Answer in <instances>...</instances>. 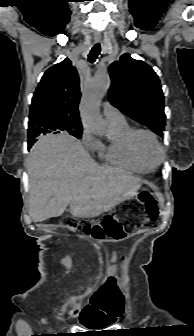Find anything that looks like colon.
<instances>
[{"label":"colon","mask_w":194,"mask_h":336,"mask_svg":"<svg viewBox=\"0 0 194 336\" xmlns=\"http://www.w3.org/2000/svg\"><path fill=\"white\" fill-rule=\"evenodd\" d=\"M140 211H143V215H140ZM157 217L156 200L149 192H141L136 199L126 201L115 214L105 216L101 223L85 224L82 225V229L97 240L108 238L120 241L135 228L151 226ZM63 224L76 227L68 218L64 219Z\"/></svg>","instance_id":"5ec220e1"}]
</instances>
